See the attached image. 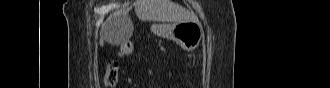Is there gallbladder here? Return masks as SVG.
Here are the masks:
<instances>
[{
	"mask_svg": "<svg viewBox=\"0 0 330 88\" xmlns=\"http://www.w3.org/2000/svg\"><path fill=\"white\" fill-rule=\"evenodd\" d=\"M133 33V26L128 21L119 19V23L115 26L114 36L118 44L125 43Z\"/></svg>",
	"mask_w": 330,
	"mask_h": 88,
	"instance_id": "obj_1",
	"label": "gallbladder"
}]
</instances>
